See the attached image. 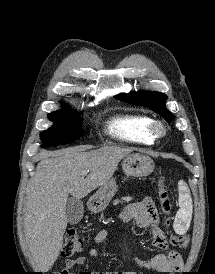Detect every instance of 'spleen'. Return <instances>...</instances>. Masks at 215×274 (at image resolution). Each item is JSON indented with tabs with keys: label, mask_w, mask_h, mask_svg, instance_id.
<instances>
[{
	"label": "spleen",
	"mask_w": 215,
	"mask_h": 274,
	"mask_svg": "<svg viewBox=\"0 0 215 274\" xmlns=\"http://www.w3.org/2000/svg\"><path fill=\"white\" fill-rule=\"evenodd\" d=\"M178 190L180 209L175 217L174 230L178 234H183L192 216V200L189 188L184 181H179Z\"/></svg>",
	"instance_id": "spleen-1"
}]
</instances>
